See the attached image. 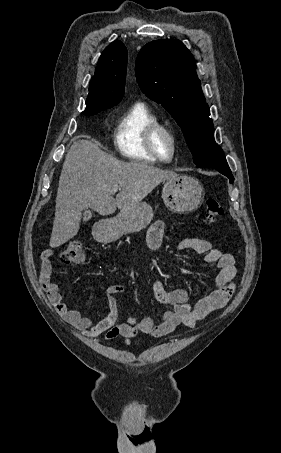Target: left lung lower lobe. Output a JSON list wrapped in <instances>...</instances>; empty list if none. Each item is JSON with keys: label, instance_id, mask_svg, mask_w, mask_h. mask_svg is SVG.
<instances>
[{"label": "left lung lower lobe", "instance_id": "1", "mask_svg": "<svg viewBox=\"0 0 281 453\" xmlns=\"http://www.w3.org/2000/svg\"><path fill=\"white\" fill-rule=\"evenodd\" d=\"M216 170L219 171L220 173H222L223 175L227 176L230 179L231 183L234 181V177H233V175L231 173L230 168H227V169H216Z\"/></svg>", "mask_w": 281, "mask_h": 453}]
</instances>
